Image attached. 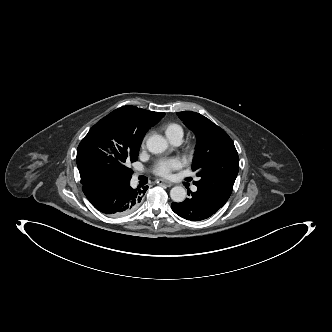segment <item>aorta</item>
Returning <instances> with one entry per match:
<instances>
[{
  "label": "aorta",
  "mask_w": 332,
  "mask_h": 332,
  "mask_svg": "<svg viewBox=\"0 0 332 332\" xmlns=\"http://www.w3.org/2000/svg\"><path fill=\"white\" fill-rule=\"evenodd\" d=\"M146 146L149 152L153 154H159L167 150L168 144L166 140L161 135H152L146 141ZM171 199L180 203L186 198V191L181 186H175L170 190Z\"/></svg>",
  "instance_id": "obj_1"
}]
</instances>
